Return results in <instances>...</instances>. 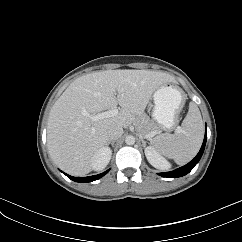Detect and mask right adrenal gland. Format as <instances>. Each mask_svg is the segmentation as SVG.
<instances>
[{"label": "right adrenal gland", "instance_id": "1", "mask_svg": "<svg viewBox=\"0 0 242 242\" xmlns=\"http://www.w3.org/2000/svg\"><path fill=\"white\" fill-rule=\"evenodd\" d=\"M114 143H115V140H113V141L109 140V141L107 142V145L111 144L112 146H114Z\"/></svg>", "mask_w": 242, "mask_h": 242}]
</instances>
